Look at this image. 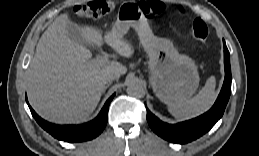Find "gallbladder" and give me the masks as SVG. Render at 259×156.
Returning a JSON list of instances; mask_svg holds the SVG:
<instances>
[{
  "label": "gallbladder",
  "instance_id": "bac80fb5",
  "mask_svg": "<svg viewBox=\"0 0 259 156\" xmlns=\"http://www.w3.org/2000/svg\"><path fill=\"white\" fill-rule=\"evenodd\" d=\"M67 32H68L67 34H68L69 38L72 41H74L86 48H90L93 46L92 44H90L88 41L85 40L80 28L78 26H76L75 24L68 25Z\"/></svg>",
  "mask_w": 259,
  "mask_h": 156
}]
</instances>
